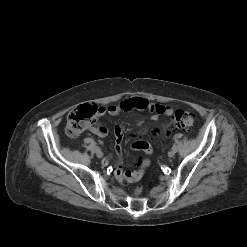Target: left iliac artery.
Returning a JSON list of instances; mask_svg holds the SVG:
<instances>
[{
    "label": "left iliac artery",
    "instance_id": "1",
    "mask_svg": "<svg viewBox=\"0 0 247 247\" xmlns=\"http://www.w3.org/2000/svg\"><path fill=\"white\" fill-rule=\"evenodd\" d=\"M177 149H178L177 146L176 145H173L172 150H174L176 152Z\"/></svg>",
    "mask_w": 247,
    "mask_h": 247
}]
</instances>
